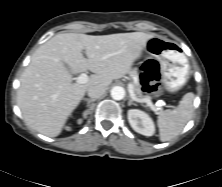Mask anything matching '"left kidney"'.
<instances>
[{
  "mask_svg": "<svg viewBox=\"0 0 222 187\" xmlns=\"http://www.w3.org/2000/svg\"><path fill=\"white\" fill-rule=\"evenodd\" d=\"M128 121L131 127L144 136H152L155 133V125L149 115L138 109L128 110Z\"/></svg>",
  "mask_w": 222,
  "mask_h": 187,
  "instance_id": "left-kidney-1",
  "label": "left kidney"
}]
</instances>
